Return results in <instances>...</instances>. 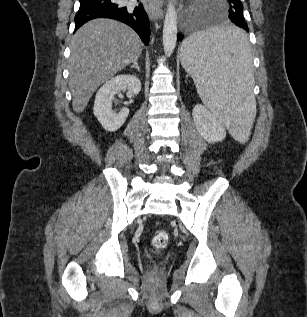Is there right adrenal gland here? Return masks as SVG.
<instances>
[{"label":"right adrenal gland","mask_w":307,"mask_h":317,"mask_svg":"<svg viewBox=\"0 0 307 317\" xmlns=\"http://www.w3.org/2000/svg\"><path fill=\"white\" fill-rule=\"evenodd\" d=\"M137 59H138V58H137ZM137 59H135V60L133 61V64L130 65V68H134V69H137L138 71H140V67L138 66Z\"/></svg>","instance_id":"obj_1"}]
</instances>
